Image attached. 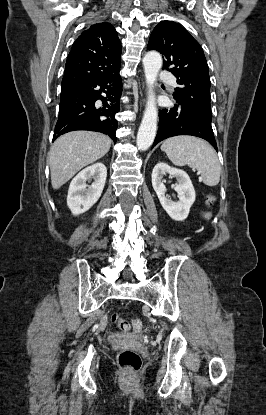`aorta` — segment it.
<instances>
[{
    "mask_svg": "<svg viewBox=\"0 0 266 415\" xmlns=\"http://www.w3.org/2000/svg\"><path fill=\"white\" fill-rule=\"evenodd\" d=\"M143 65L149 93L143 119L137 134V147L145 151L152 145L157 130L158 110L152 88L162 66V57L158 52L150 51L145 55Z\"/></svg>",
    "mask_w": 266,
    "mask_h": 415,
    "instance_id": "762f6f07",
    "label": "aorta"
}]
</instances>
